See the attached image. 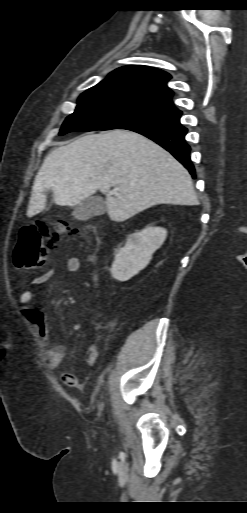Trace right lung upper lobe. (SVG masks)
<instances>
[{"mask_svg": "<svg viewBox=\"0 0 247 513\" xmlns=\"http://www.w3.org/2000/svg\"><path fill=\"white\" fill-rule=\"evenodd\" d=\"M171 76L165 71L147 66H124L109 74L96 86L90 88H112L138 94L156 105L177 110L171 101L173 92L167 87Z\"/></svg>", "mask_w": 247, "mask_h": 513, "instance_id": "right-lung-upper-lobe-1", "label": "right lung upper lobe"}]
</instances>
